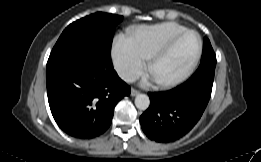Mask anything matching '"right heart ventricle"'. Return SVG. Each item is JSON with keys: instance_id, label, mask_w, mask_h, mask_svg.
Segmentation results:
<instances>
[{"instance_id": "e07e8e85", "label": "right heart ventricle", "mask_w": 261, "mask_h": 162, "mask_svg": "<svg viewBox=\"0 0 261 162\" xmlns=\"http://www.w3.org/2000/svg\"><path fill=\"white\" fill-rule=\"evenodd\" d=\"M186 28L176 22H163L153 25H142L133 28L128 39L134 50L143 58L148 59L170 37Z\"/></svg>"}]
</instances>
